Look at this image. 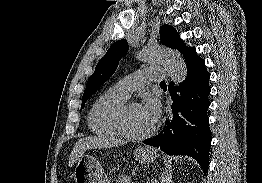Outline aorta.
<instances>
[{
	"mask_svg": "<svg viewBox=\"0 0 262 183\" xmlns=\"http://www.w3.org/2000/svg\"><path fill=\"white\" fill-rule=\"evenodd\" d=\"M138 58L143 62L163 65L175 83L184 81L187 76V65L177 51L160 46H148L138 53Z\"/></svg>",
	"mask_w": 262,
	"mask_h": 183,
	"instance_id": "obj_1",
	"label": "aorta"
}]
</instances>
